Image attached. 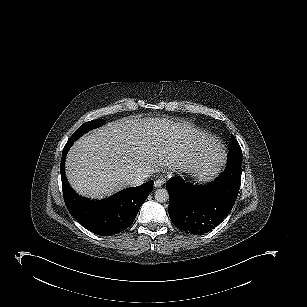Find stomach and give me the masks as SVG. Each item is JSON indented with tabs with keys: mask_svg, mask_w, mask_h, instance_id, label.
<instances>
[{
	"mask_svg": "<svg viewBox=\"0 0 307 307\" xmlns=\"http://www.w3.org/2000/svg\"><path fill=\"white\" fill-rule=\"evenodd\" d=\"M212 176H214L213 172H203L202 174L199 175V178L201 181H205L210 179Z\"/></svg>",
	"mask_w": 307,
	"mask_h": 307,
	"instance_id": "obj_1",
	"label": "stomach"
}]
</instances>
